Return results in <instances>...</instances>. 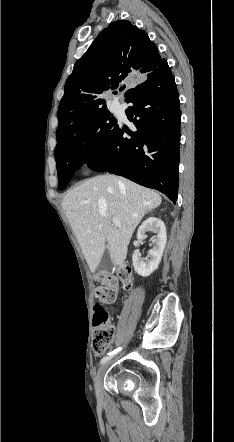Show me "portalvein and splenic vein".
<instances>
[{
	"mask_svg": "<svg viewBox=\"0 0 234 442\" xmlns=\"http://www.w3.org/2000/svg\"><path fill=\"white\" fill-rule=\"evenodd\" d=\"M112 223L116 227H120L121 226V222H120V220L117 217H113L112 218Z\"/></svg>",
	"mask_w": 234,
	"mask_h": 442,
	"instance_id": "portal-vein-and-splenic-vein-1",
	"label": "portal vein and splenic vein"
}]
</instances>
